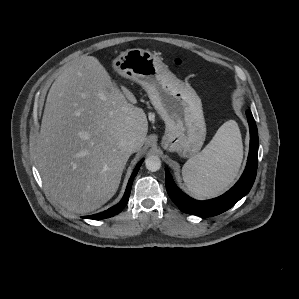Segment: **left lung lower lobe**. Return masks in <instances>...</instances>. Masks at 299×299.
<instances>
[{"label": "left lung lower lobe", "instance_id": "1", "mask_svg": "<svg viewBox=\"0 0 299 299\" xmlns=\"http://www.w3.org/2000/svg\"><path fill=\"white\" fill-rule=\"evenodd\" d=\"M246 116L250 128V149L247 165L239 181L225 194L214 199L197 201L183 193L174 183L169 171L165 170L167 193L181 211L202 217L215 216L230 209L250 191L258 166V132L250 110L246 111Z\"/></svg>", "mask_w": 299, "mask_h": 299}]
</instances>
